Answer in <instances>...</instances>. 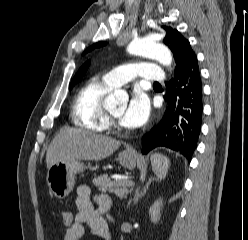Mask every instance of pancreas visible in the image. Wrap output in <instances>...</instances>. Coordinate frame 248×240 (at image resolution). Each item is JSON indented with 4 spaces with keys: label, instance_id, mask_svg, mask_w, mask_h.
Segmentation results:
<instances>
[{
    "label": "pancreas",
    "instance_id": "pancreas-1",
    "mask_svg": "<svg viewBox=\"0 0 248 240\" xmlns=\"http://www.w3.org/2000/svg\"><path fill=\"white\" fill-rule=\"evenodd\" d=\"M93 184L102 192L107 190L120 198H126L129 193L127 185L123 181H111L108 175H100L93 179Z\"/></svg>",
    "mask_w": 248,
    "mask_h": 240
}]
</instances>
